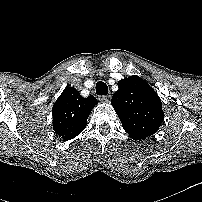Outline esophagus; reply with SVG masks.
Masks as SVG:
<instances>
[{"label": "esophagus", "instance_id": "esophagus-1", "mask_svg": "<svg viewBox=\"0 0 202 202\" xmlns=\"http://www.w3.org/2000/svg\"><path fill=\"white\" fill-rule=\"evenodd\" d=\"M110 99H111V95H107V96H98V100H99V101L109 102Z\"/></svg>", "mask_w": 202, "mask_h": 202}]
</instances>
